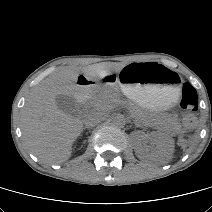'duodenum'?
<instances>
[{
  "label": "duodenum",
  "mask_w": 212,
  "mask_h": 212,
  "mask_svg": "<svg viewBox=\"0 0 212 212\" xmlns=\"http://www.w3.org/2000/svg\"><path fill=\"white\" fill-rule=\"evenodd\" d=\"M77 86H78V96L80 98L86 99L87 95L93 88V81L87 78H82L79 79Z\"/></svg>",
  "instance_id": "1"
}]
</instances>
